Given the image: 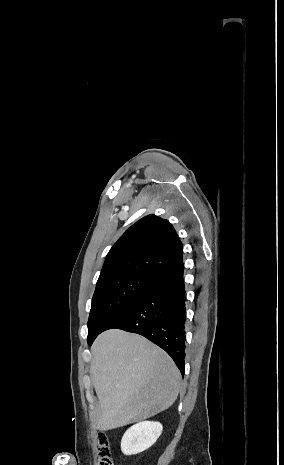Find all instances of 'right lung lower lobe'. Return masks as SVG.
I'll list each match as a JSON object with an SVG mask.
<instances>
[{
    "mask_svg": "<svg viewBox=\"0 0 284 465\" xmlns=\"http://www.w3.org/2000/svg\"><path fill=\"white\" fill-rule=\"evenodd\" d=\"M183 269L181 262L153 279L101 331L118 328L146 337L171 356L182 374L185 367L186 337ZM94 339L88 344L92 345Z\"/></svg>",
    "mask_w": 284,
    "mask_h": 465,
    "instance_id": "obj_1",
    "label": "right lung lower lobe"
}]
</instances>
